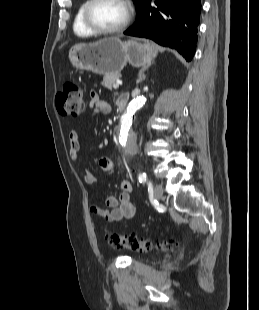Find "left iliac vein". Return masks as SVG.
Wrapping results in <instances>:
<instances>
[{"mask_svg":"<svg viewBox=\"0 0 259 310\" xmlns=\"http://www.w3.org/2000/svg\"><path fill=\"white\" fill-rule=\"evenodd\" d=\"M163 197V187L160 184H155L154 186V198L160 201Z\"/></svg>","mask_w":259,"mask_h":310,"instance_id":"4c4485c4","label":"left iliac vein"}]
</instances>
